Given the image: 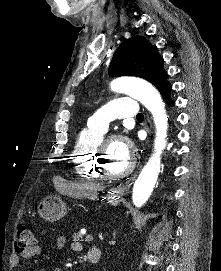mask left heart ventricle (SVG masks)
Instances as JSON below:
<instances>
[{
	"instance_id": "b2bd125f",
	"label": "left heart ventricle",
	"mask_w": 221,
	"mask_h": 271,
	"mask_svg": "<svg viewBox=\"0 0 221 271\" xmlns=\"http://www.w3.org/2000/svg\"><path fill=\"white\" fill-rule=\"evenodd\" d=\"M125 156H108L107 160H104V165L108 168L109 175H124L125 171L123 168Z\"/></svg>"
}]
</instances>
